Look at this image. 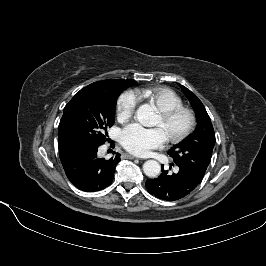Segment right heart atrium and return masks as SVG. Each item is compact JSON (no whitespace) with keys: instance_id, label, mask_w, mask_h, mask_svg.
<instances>
[{"instance_id":"right-heart-atrium-1","label":"right heart atrium","mask_w":266,"mask_h":266,"mask_svg":"<svg viewBox=\"0 0 266 266\" xmlns=\"http://www.w3.org/2000/svg\"><path fill=\"white\" fill-rule=\"evenodd\" d=\"M140 102V95L136 90L124 92L117 103V116L119 120L130 118Z\"/></svg>"}]
</instances>
